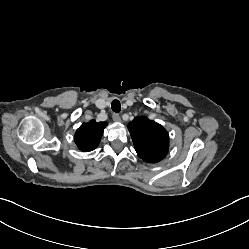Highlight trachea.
<instances>
[{
	"mask_svg": "<svg viewBox=\"0 0 249 249\" xmlns=\"http://www.w3.org/2000/svg\"><path fill=\"white\" fill-rule=\"evenodd\" d=\"M111 108L114 112L119 113L121 110V104L118 100H113L111 104Z\"/></svg>",
	"mask_w": 249,
	"mask_h": 249,
	"instance_id": "obj_1",
	"label": "trachea"
}]
</instances>
